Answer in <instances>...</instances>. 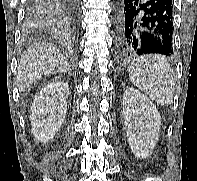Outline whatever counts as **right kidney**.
<instances>
[{"mask_svg":"<svg viewBox=\"0 0 197 181\" xmlns=\"http://www.w3.org/2000/svg\"><path fill=\"white\" fill-rule=\"evenodd\" d=\"M69 85L53 81L45 85L31 107L32 133L36 140L48 143L59 131L67 111Z\"/></svg>","mask_w":197,"mask_h":181,"instance_id":"ca27d5eb","label":"right kidney"}]
</instances>
